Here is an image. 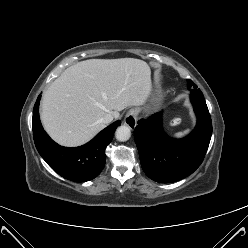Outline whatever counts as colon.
<instances>
[{
  "mask_svg": "<svg viewBox=\"0 0 248 248\" xmlns=\"http://www.w3.org/2000/svg\"><path fill=\"white\" fill-rule=\"evenodd\" d=\"M180 122V118H175L174 120H173V123L174 124H178Z\"/></svg>",
  "mask_w": 248,
  "mask_h": 248,
  "instance_id": "colon-1",
  "label": "colon"
}]
</instances>
